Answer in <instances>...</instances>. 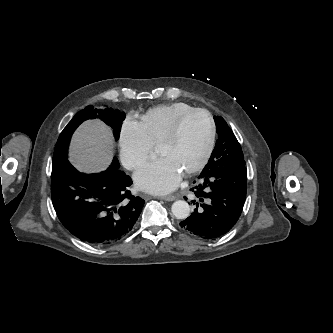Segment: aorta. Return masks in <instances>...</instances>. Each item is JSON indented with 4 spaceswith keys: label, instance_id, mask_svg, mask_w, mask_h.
Segmentation results:
<instances>
[{
    "label": "aorta",
    "instance_id": "1",
    "mask_svg": "<svg viewBox=\"0 0 333 333\" xmlns=\"http://www.w3.org/2000/svg\"><path fill=\"white\" fill-rule=\"evenodd\" d=\"M172 213L177 219H186L190 215V206L186 201H175L172 205Z\"/></svg>",
    "mask_w": 333,
    "mask_h": 333
}]
</instances>
